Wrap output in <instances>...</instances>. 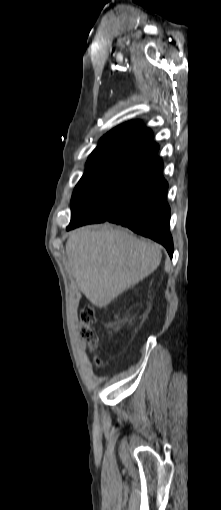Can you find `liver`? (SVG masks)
I'll list each match as a JSON object with an SVG mask.
<instances>
[{
  "label": "liver",
  "mask_w": 221,
  "mask_h": 510,
  "mask_svg": "<svg viewBox=\"0 0 221 510\" xmlns=\"http://www.w3.org/2000/svg\"><path fill=\"white\" fill-rule=\"evenodd\" d=\"M66 255L81 292L99 308L155 271L162 256L158 244L108 224L72 231Z\"/></svg>",
  "instance_id": "6515ba94"
}]
</instances>
